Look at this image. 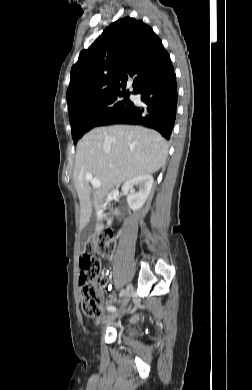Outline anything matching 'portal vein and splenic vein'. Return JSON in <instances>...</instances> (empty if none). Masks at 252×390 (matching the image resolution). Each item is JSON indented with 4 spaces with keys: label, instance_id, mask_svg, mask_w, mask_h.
Returning <instances> with one entry per match:
<instances>
[{
    "label": "portal vein and splenic vein",
    "instance_id": "18ae733b",
    "mask_svg": "<svg viewBox=\"0 0 252 390\" xmlns=\"http://www.w3.org/2000/svg\"><path fill=\"white\" fill-rule=\"evenodd\" d=\"M85 179L90 181L94 188H99L101 186L100 181L97 178H94L91 173L86 174Z\"/></svg>",
    "mask_w": 252,
    "mask_h": 390
}]
</instances>
